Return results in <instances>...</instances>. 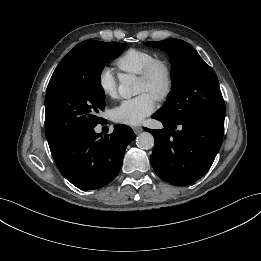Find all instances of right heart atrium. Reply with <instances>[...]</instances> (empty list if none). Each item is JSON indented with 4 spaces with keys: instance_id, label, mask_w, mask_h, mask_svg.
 <instances>
[{
    "instance_id": "d8ad5b80",
    "label": "right heart atrium",
    "mask_w": 261,
    "mask_h": 261,
    "mask_svg": "<svg viewBox=\"0 0 261 261\" xmlns=\"http://www.w3.org/2000/svg\"><path fill=\"white\" fill-rule=\"evenodd\" d=\"M98 86L105 97L114 98L118 93V79L109 67H103L98 74Z\"/></svg>"
}]
</instances>
